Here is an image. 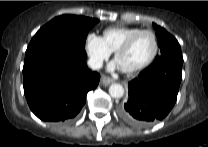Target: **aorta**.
<instances>
[{"label": "aorta", "mask_w": 208, "mask_h": 147, "mask_svg": "<svg viewBox=\"0 0 208 147\" xmlns=\"http://www.w3.org/2000/svg\"><path fill=\"white\" fill-rule=\"evenodd\" d=\"M109 94L113 98H121L124 95V88L122 85L114 83L109 87Z\"/></svg>", "instance_id": "obj_1"}]
</instances>
